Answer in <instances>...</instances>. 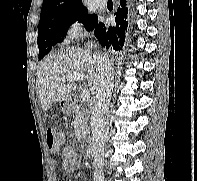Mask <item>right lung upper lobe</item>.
Returning a JSON list of instances; mask_svg holds the SVG:
<instances>
[{
	"label": "right lung upper lobe",
	"mask_w": 197,
	"mask_h": 181,
	"mask_svg": "<svg viewBox=\"0 0 197 181\" xmlns=\"http://www.w3.org/2000/svg\"><path fill=\"white\" fill-rule=\"evenodd\" d=\"M82 0H44L40 18L83 8Z\"/></svg>",
	"instance_id": "cb5924a9"
}]
</instances>
